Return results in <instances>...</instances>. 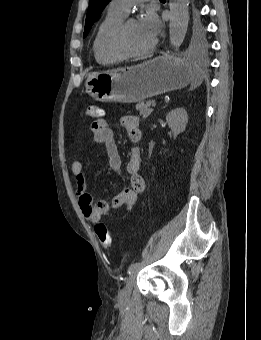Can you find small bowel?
<instances>
[{
	"mask_svg": "<svg viewBox=\"0 0 261 340\" xmlns=\"http://www.w3.org/2000/svg\"><path fill=\"white\" fill-rule=\"evenodd\" d=\"M121 125L134 144L126 164V171L130 176V187L122 190L110 203L103 200L93 201L92 195L87 191V178L81 161L74 160L72 162L71 169L76 181L79 206L84 217L92 223H98L111 209H121V216L127 215L133 209L138 196L145 189L144 179L140 175L141 154L138 143L141 139V131L138 118L124 116L121 118ZM91 131L94 134V141L101 144L106 151L109 168L118 170L121 165V158L113 130L101 116L92 122Z\"/></svg>",
	"mask_w": 261,
	"mask_h": 340,
	"instance_id": "1",
	"label": "small bowel"
}]
</instances>
